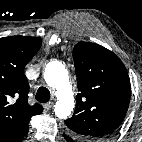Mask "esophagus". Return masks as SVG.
I'll list each match as a JSON object with an SVG mask.
<instances>
[{"instance_id": "1", "label": "esophagus", "mask_w": 142, "mask_h": 142, "mask_svg": "<svg viewBox=\"0 0 142 142\" xmlns=\"http://www.w3.org/2000/svg\"><path fill=\"white\" fill-rule=\"evenodd\" d=\"M52 107H53V102H49V103H46V104L44 105V109H45L46 111L51 110Z\"/></svg>"}]
</instances>
